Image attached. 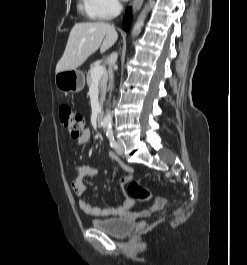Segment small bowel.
I'll list each match as a JSON object with an SVG mask.
<instances>
[{"instance_id":"small-bowel-1","label":"small bowel","mask_w":247,"mask_h":265,"mask_svg":"<svg viewBox=\"0 0 247 265\" xmlns=\"http://www.w3.org/2000/svg\"><path fill=\"white\" fill-rule=\"evenodd\" d=\"M90 138V131L88 129L85 130L84 136L79 143L84 145L88 142ZM109 157L115 161H117L125 170L131 172L132 168L122 161H120L114 154L110 153ZM97 175V170L90 165H81L78 167V177L72 183V188L78 197V205L80 209L92 216L98 217H107V216H127L130 218H139V217H148L156 212H159L163 206L165 205V199L158 197L156 198L154 204L149 208L142 210L140 212H131V208L134 205V200L132 198H126L124 202L114 208H100L89 204L85 199V180L89 178H93Z\"/></svg>"}]
</instances>
